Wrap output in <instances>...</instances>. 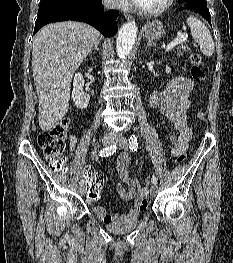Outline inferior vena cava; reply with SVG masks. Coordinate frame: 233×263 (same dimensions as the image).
Segmentation results:
<instances>
[{
  "label": "inferior vena cava",
  "instance_id": "inferior-vena-cava-1",
  "mask_svg": "<svg viewBox=\"0 0 233 263\" xmlns=\"http://www.w3.org/2000/svg\"><path fill=\"white\" fill-rule=\"evenodd\" d=\"M103 5L106 9H113L116 7V0H103Z\"/></svg>",
  "mask_w": 233,
  "mask_h": 263
}]
</instances>
